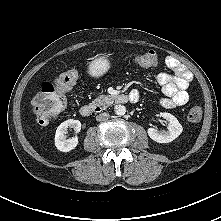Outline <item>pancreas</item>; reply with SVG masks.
<instances>
[{"mask_svg":"<svg viewBox=\"0 0 221 221\" xmlns=\"http://www.w3.org/2000/svg\"><path fill=\"white\" fill-rule=\"evenodd\" d=\"M113 100H114L113 95H100L98 98H96L92 102V105H100L105 108V107L109 106L110 104H112Z\"/></svg>","mask_w":221,"mask_h":221,"instance_id":"obj_1","label":"pancreas"}]
</instances>
